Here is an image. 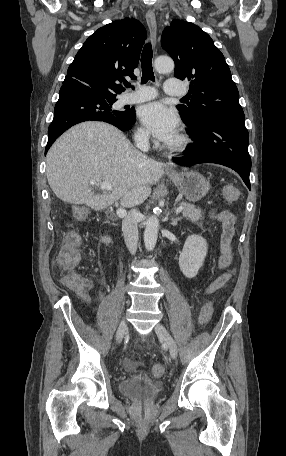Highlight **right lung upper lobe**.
<instances>
[{"mask_svg":"<svg viewBox=\"0 0 286 456\" xmlns=\"http://www.w3.org/2000/svg\"><path fill=\"white\" fill-rule=\"evenodd\" d=\"M135 19L117 20L99 28L83 44L70 64L63 84L77 83L115 100L125 89L118 84L134 69L146 39Z\"/></svg>","mask_w":286,"mask_h":456,"instance_id":"obj_1","label":"right lung upper lobe"}]
</instances>
